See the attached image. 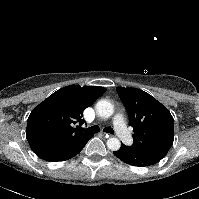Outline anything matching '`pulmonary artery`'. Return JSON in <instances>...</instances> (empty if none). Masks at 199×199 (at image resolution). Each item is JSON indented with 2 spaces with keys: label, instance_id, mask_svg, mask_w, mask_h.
Returning a JSON list of instances; mask_svg holds the SVG:
<instances>
[{
  "label": "pulmonary artery",
  "instance_id": "pulmonary-artery-1",
  "mask_svg": "<svg viewBox=\"0 0 199 199\" xmlns=\"http://www.w3.org/2000/svg\"><path fill=\"white\" fill-rule=\"evenodd\" d=\"M114 129L118 137L126 144L132 145L133 144V137L129 132L126 124L125 118L122 114L118 113L115 115L113 119Z\"/></svg>",
  "mask_w": 199,
  "mask_h": 199
}]
</instances>
